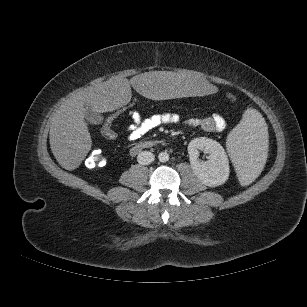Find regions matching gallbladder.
Instances as JSON below:
<instances>
[{
  "label": "gallbladder",
  "mask_w": 307,
  "mask_h": 307,
  "mask_svg": "<svg viewBox=\"0 0 307 307\" xmlns=\"http://www.w3.org/2000/svg\"><path fill=\"white\" fill-rule=\"evenodd\" d=\"M85 118L92 124H100L103 121V117L91 108L86 110Z\"/></svg>",
  "instance_id": "gallbladder-1"
}]
</instances>
